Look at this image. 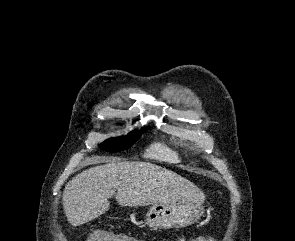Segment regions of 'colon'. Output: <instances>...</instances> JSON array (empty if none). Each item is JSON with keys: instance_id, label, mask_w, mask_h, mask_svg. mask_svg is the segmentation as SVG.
<instances>
[{"instance_id": "5ec220e1", "label": "colon", "mask_w": 295, "mask_h": 241, "mask_svg": "<svg viewBox=\"0 0 295 241\" xmlns=\"http://www.w3.org/2000/svg\"><path fill=\"white\" fill-rule=\"evenodd\" d=\"M132 237L125 234L113 233L105 230H94L90 233L88 241H132ZM180 241H186L181 239ZM190 241H215L212 238L192 239Z\"/></svg>"}]
</instances>
